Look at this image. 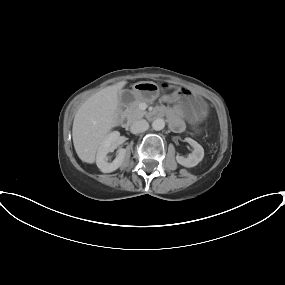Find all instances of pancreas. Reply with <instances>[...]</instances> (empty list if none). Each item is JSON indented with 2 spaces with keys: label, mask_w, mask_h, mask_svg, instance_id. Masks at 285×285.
<instances>
[{
  "label": "pancreas",
  "mask_w": 285,
  "mask_h": 285,
  "mask_svg": "<svg viewBox=\"0 0 285 285\" xmlns=\"http://www.w3.org/2000/svg\"><path fill=\"white\" fill-rule=\"evenodd\" d=\"M143 102V100L137 99L127 107L125 113L129 121L139 120L146 115V111L139 108L140 104Z\"/></svg>",
  "instance_id": "1"
}]
</instances>
